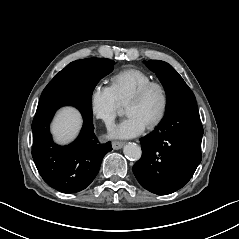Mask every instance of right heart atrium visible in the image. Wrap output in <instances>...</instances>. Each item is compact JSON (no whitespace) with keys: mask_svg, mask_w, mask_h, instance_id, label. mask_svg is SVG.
<instances>
[{"mask_svg":"<svg viewBox=\"0 0 239 239\" xmlns=\"http://www.w3.org/2000/svg\"><path fill=\"white\" fill-rule=\"evenodd\" d=\"M123 104L120 102L111 85L95 83L89 92V107L91 114L111 125L115 116L121 110Z\"/></svg>","mask_w":239,"mask_h":239,"instance_id":"right-heart-atrium-1","label":"right heart atrium"}]
</instances>
